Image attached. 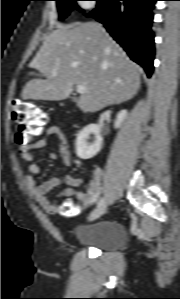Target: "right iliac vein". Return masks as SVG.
I'll return each mask as SVG.
<instances>
[{
	"label": "right iliac vein",
	"mask_w": 180,
	"mask_h": 299,
	"mask_svg": "<svg viewBox=\"0 0 180 299\" xmlns=\"http://www.w3.org/2000/svg\"><path fill=\"white\" fill-rule=\"evenodd\" d=\"M107 210V205L103 203L102 205L98 206L89 216L90 221H94L100 218Z\"/></svg>",
	"instance_id": "right-iliac-vein-1"
}]
</instances>
